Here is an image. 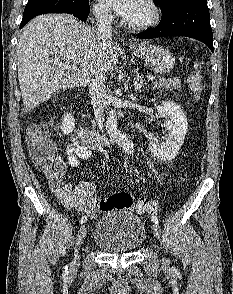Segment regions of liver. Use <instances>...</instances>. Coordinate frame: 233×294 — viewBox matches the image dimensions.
<instances>
[{
    "mask_svg": "<svg viewBox=\"0 0 233 294\" xmlns=\"http://www.w3.org/2000/svg\"><path fill=\"white\" fill-rule=\"evenodd\" d=\"M119 52L114 42L100 43L95 30L71 15L36 17L24 27L17 48L24 107L30 111L60 89L89 84L93 67L99 63L104 73L111 71ZM56 62L77 70L64 71Z\"/></svg>",
    "mask_w": 233,
    "mask_h": 294,
    "instance_id": "liver-1",
    "label": "liver"
}]
</instances>
